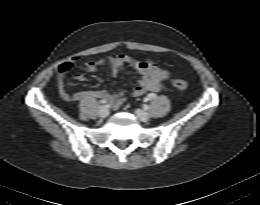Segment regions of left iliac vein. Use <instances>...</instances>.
Instances as JSON below:
<instances>
[{
    "instance_id": "1",
    "label": "left iliac vein",
    "mask_w": 260,
    "mask_h": 205,
    "mask_svg": "<svg viewBox=\"0 0 260 205\" xmlns=\"http://www.w3.org/2000/svg\"><path fill=\"white\" fill-rule=\"evenodd\" d=\"M135 113L141 121L147 122L149 120V114L144 110L136 109Z\"/></svg>"
}]
</instances>
